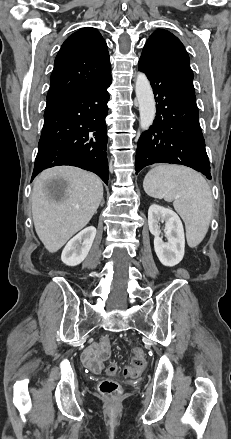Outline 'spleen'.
Returning <instances> with one entry per match:
<instances>
[{"label": "spleen", "instance_id": "1", "mask_svg": "<svg viewBox=\"0 0 231 439\" xmlns=\"http://www.w3.org/2000/svg\"><path fill=\"white\" fill-rule=\"evenodd\" d=\"M143 188L151 197L173 202L185 222L189 246L200 244L213 210L211 190L201 174L187 167L158 165L145 176Z\"/></svg>", "mask_w": 231, "mask_h": 439}]
</instances>
